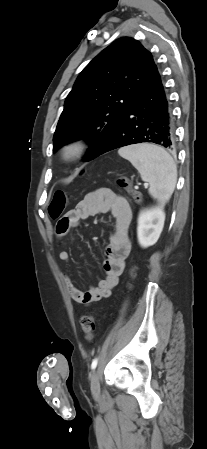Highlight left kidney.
Wrapping results in <instances>:
<instances>
[{"mask_svg": "<svg viewBox=\"0 0 207 449\" xmlns=\"http://www.w3.org/2000/svg\"><path fill=\"white\" fill-rule=\"evenodd\" d=\"M165 213L163 205L146 209L139 214L137 238L143 248L154 245L163 230Z\"/></svg>", "mask_w": 207, "mask_h": 449, "instance_id": "obj_1", "label": "left kidney"}]
</instances>
